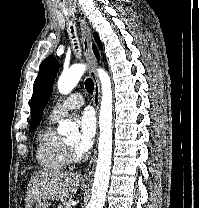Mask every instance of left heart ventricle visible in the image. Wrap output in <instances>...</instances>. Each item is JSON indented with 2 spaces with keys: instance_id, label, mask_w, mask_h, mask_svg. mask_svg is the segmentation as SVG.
<instances>
[{
  "instance_id": "1",
  "label": "left heart ventricle",
  "mask_w": 199,
  "mask_h": 208,
  "mask_svg": "<svg viewBox=\"0 0 199 208\" xmlns=\"http://www.w3.org/2000/svg\"><path fill=\"white\" fill-rule=\"evenodd\" d=\"M67 142L75 148V144L77 142V137L76 136L75 137H72Z\"/></svg>"
}]
</instances>
